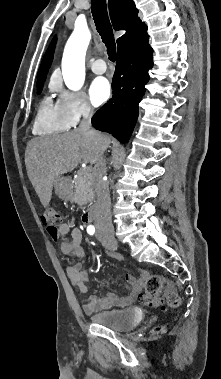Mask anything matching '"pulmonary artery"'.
I'll list each match as a JSON object with an SVG mask.
<instances>
[{
	"instance_id": "1",
	"label": "pulmonary artery",
	"mask_w": 221,
	"mask_h": 379,
	"mask_svg": "<svg viewBox=\"0 0 221 379\" xmlns=\"http://www.w3.org/2000/svg\"><path fill=\"white\" fill-rule=\"evenodd\" d=\"M106 64L104 62V60L102 59H98L96 61H94L91 65V70L95 73V74H103L106 72Z\"/></svg>"
}]
</instances>
